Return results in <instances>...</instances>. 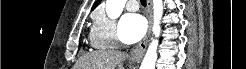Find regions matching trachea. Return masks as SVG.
Here are the masks:
<instances>
[{"label":"trachea","instance_id":"1","mask_svg":"<svg viewBox=\"0 0 246 69\" xmlns=\"http://www.w3.org/2000/svg\"><path fill=\"white\" fill-rule=\"evenodd\" d=\"M140 2L143 6H146V0H141Z\"/></svg>","mask_w":246,"mask_h":69}]
</instances>
